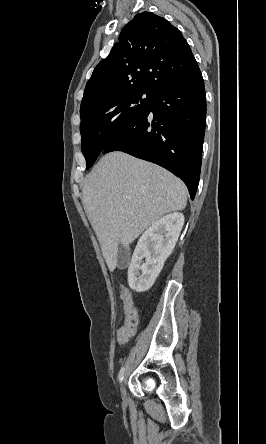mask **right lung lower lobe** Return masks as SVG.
<instances>
[{"label": "right lung lower lobe", "mask_w": 266, "mask_h": 444, "mask_svg": "<svg viewBox=\"0 0 266 444\" xmlns=\"http://www.w3.org/2000/svg\"><path fill=\"white\" fill-rule=\"evenodd\" d=\"M206 125L204 81L199 67L153 93L148 111L117 134L102 153L123 151L169 170L197 191Z\"/></svg>", "instance_id": "98d812e1"}]
</instances>
